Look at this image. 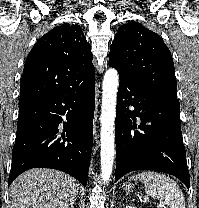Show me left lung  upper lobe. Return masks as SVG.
<instances>
[{"label":"left lung upper lobe","mask_w":199,"mask_h":208,"mask_svg":"<svg viewBox=\"0 0 199 208\" xmlns=\"http://www.w3.org/2000/svg\"><path fill=\"white\" fill-rule=\"evenodd\" d=\"M109 65L152 92L177 99L171 53L160 36L137 22L122 25L112 42Z\"/></svg>","instance_id":"1"}]
</instances>
